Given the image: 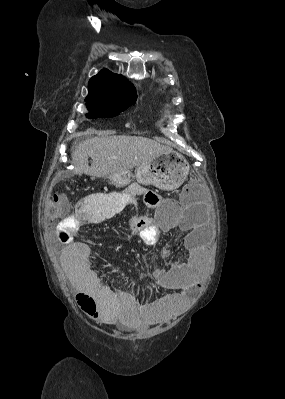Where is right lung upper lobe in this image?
<instances>
[{"instance_id":"1","label":"right lung upper lobe","mask_w":285,"mask_h":399,"mask_svg":"<svg viewBox=\"0 0 285 399\" xmlns=\"http://www.w3.org/2000/svg\"><path fill=\"white\" fill-rule=\"evenodd\" d=\"M131 96H137L136 91L125 77L103 69L90 79L86 100H107Z\"/></svg>"}]
</instances>
